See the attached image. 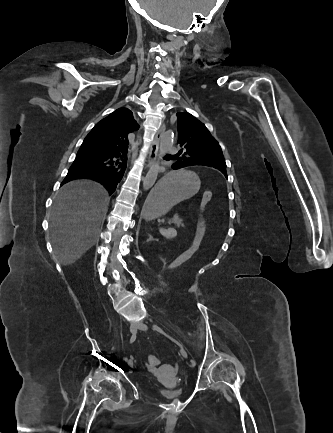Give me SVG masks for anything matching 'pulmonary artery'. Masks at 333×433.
<instances>
[{"label": "pulmonary artery", "mask_w": 333, "mask_h": 433, "mask_svg": "<svg viewBox=\"0 0 333 433\" xmlns=\"http://www.w3.org/2000/svg\"><path fill=\"white\" fill-rule=\"evenodd\" d=\"M168 151H169L170 153H175V152H176L175 148H173V147H170V148L168 149Z\"/></svg>", "instance_id": "1"}]
</instances>
